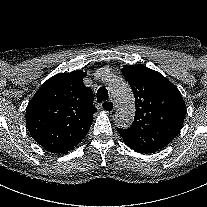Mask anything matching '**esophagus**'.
<instances>
[{"mask_svg": "<svg viewBox=\"0 0 207 207\" xmlns=\"http://www.w3.org/2000/svg\"><path fill=\"white\" fill-rule=\"evenodd\" d=\"M110 104H108L107 106L103 107L102 105V109L108 113L113 112L114 111V104L112 102H109Z\"/></svg>", "mask_w": 207, "mask_h": 207, "instance_id": "obj_1", "label": "esophagus"}]
</instances>
